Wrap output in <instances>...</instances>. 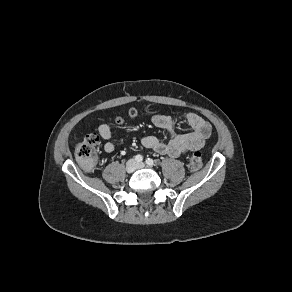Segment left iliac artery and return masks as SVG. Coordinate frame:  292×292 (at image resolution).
<instances>
[{"label": "left iliac artery", "instance_id": "44dca946", "mask_svg": "<svg viewBox=\"0 0 292 292\" xmlns=\"http://www.w3.org/2000/svg\"><path fill=\"white\" fill-rule=\"evenodd\" d=\"M146 164L149 166H153L154 165V161L151 158L146 159Z\"/></svg>", "mask_w": 292, "mask_h": 292}]
</instances>
